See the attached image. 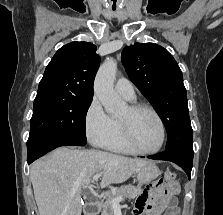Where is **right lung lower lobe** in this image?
I'll return each mask as SVG.
<instances>
[{"mask_svg":"<svg viewBox=\"0 0 223 215\" xmlns=\"http://www.w3.org/2000/svg\"><path fill=\"white\" fill-rule=\"evenodd\" d=\"M85 144H86V141H83V140L67 139V140L51 141V142L39 144L36 146H32L30 148H27L28 150L27 162L28 164H31L33 161H35L39 157L45 155L49 151L60 146H83Z\"/></svg>","mask_w":223,"mask_h":215,"instance_id":"1","label":"right lung lower lobe"}]
</instances>
